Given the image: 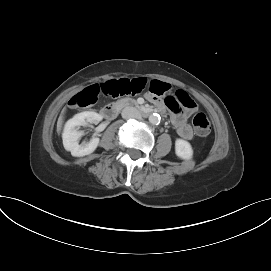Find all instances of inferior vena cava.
<instances>
[{
  "instance_id": "obj_1",
  "label": "inferior vena cava",
  "mask_w": 271,
  "mask_h": 271,
  "mask_svg": "<svg viewBox=\"0 0 271 271\" xmlns=\"http://www.w3.org/2000/svg\"><path fill=\"white\" fill-rule=\"evenodd\" d=\"M122 117L124 119H130V118H141V114L140 112L135 108V107H125L123 110H122Z\"/></svg>"
}]
</instances>
